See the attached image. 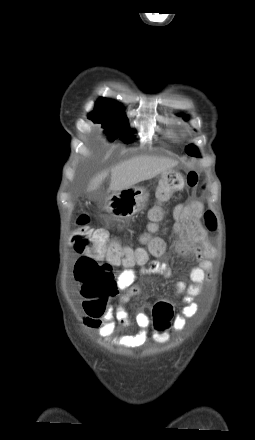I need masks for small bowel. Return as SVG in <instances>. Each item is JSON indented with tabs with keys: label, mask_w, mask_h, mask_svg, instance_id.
Instances as JSON below:
<instances>
[{
	"label": "small bowel",
	"mask_w": 255,
	"mask_h": 440,
	"mask_svg": "<svg viewBox=\"0 0 255 440\" xmlns=\"http://www.w3.org/2000/svg\"><path fill=\"white\" fill-rule=\"evenodd\" d=\"M204 212V204L200 201H191L187 204H177L173 207L172 217L174 222L170 226V232L176 238L173 248L178 254L192 255L198 262V266L191 269V284L184 281L176 283V291L183 294V306L173 321L174 331H181L186 326V320L193 317L198 311V304L195 298L200 294L201 287L210 278L211 262L214 257V249L205 240V230L201 224ZM164 251V243L158 240ZM145 252V251H144ZM141 274L157 276H168L170 269L168 265L158 259H150L147 253L135 264L128 265L117 277L116 286L124 291L119 297L115 308L108 307L106 312L97 318L85 316L84 324L97 331L100 337L115 346L134 349L145 345L149 341L148 328L150 319L147 313L140 312L134 316V322L140 328L136 334L121 335L114 337L117 330V323L121 326H128L132 317L124 305L130 298L139 293L140 289L135 284ZM163 343V342H159Z\"/></svg>",
	"instance_id": "small-bowel-1"
}]
</instances>
